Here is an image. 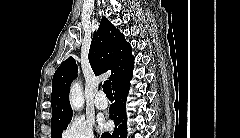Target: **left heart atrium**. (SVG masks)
<instances>
[{
  "label": "left heart atrium",
  "mask_w": 240,
  "mask_h": 138,
  "mask_svg": "<svg viewBox=\"0 0 240 138\" xmlns=\"http://www.w3.org/2000/svg\"><path fill=\"white\" fill-rule=\"evenodd\" d=\"M104 127H105V124H104V123H102V124H101V128H104Z\"/></svg>",
  "instance_id": "1"
}]
</instances>
